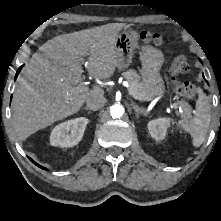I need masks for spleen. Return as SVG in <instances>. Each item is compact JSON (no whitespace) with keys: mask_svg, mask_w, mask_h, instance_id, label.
<instances>
[{"mask_svg":"<svg viewBox=\"0 0 221 221\" xmlns=\"http://www.w3.org/2000/svg\"><path fill=\"white\" fill-rule=\"evenodd\" d=\"M197 92L198 99L194 116L191 119L183 118L175 123L177 128L183 129L191 135L194 147H199L204 142L211 120L207 96L200 88L197 89Z\"/></svg>","mask_w":221,"mask_h":221,"instance_id":"spleen-1","label":"spleen"}]
</instances>
